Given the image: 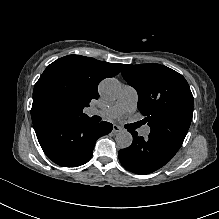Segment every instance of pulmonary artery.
I'll return each mask as SVG.
<instances>
[{"label": "pulmonary artery", "mask_w": 219, "mask_h": 219, "mask_svg": "<svg viewBox=\"0 0 219 219\" xmlns=\"http://www.w3.org/2000/svg\"><path fill=\"white\" fill-rule=\"evenodd\" d=\"M138 102V94L135 88L125 85L119 99L110 107L104 109L90 108L88 112L100 116L105 121L113 120L126 112L135 109ZM150 128L143 127L142 131L148 133Z\"/></svg>", "instance_id": "1"}]
</instances>
